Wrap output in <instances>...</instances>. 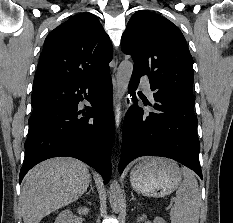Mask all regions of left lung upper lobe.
<instances>
[{"instance_id":"5c2ea615","label":"left lung upper lobe","mask_w":233,"mask_h":223,"mask_svg":"<svg viewBox=\"0 0 233 223\" xmlns=\"http://www.w3.org/2000/svg\"><path fill=\"white\" fill-rule=\"evenodd\" d=\"M121 48L132 55L133 70L148 75L154 95L194 100V62L182 32L171 21L149 11L134 13Z\"/></svg>"}]
</instances>
